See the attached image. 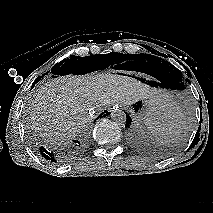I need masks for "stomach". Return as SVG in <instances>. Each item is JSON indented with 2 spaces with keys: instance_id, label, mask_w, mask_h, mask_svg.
I'll return each mask as SVG.
<instances>
[{
  "instance_id": "0dacf381",
  "label": "stomach",
  "mask_w": 213,
  "mask_h": 213,
  "mask_svg": "<svg viewBox=\"0 0 213 213\" xmlns=\"http://www.w3.org/2000/svg\"><path fill=\"white\" fill-rule=\"evenodd\" d=\"M129 111L137 121H144L148 124L153 122L158 113L164 111V108H158L148 100H138L129 106Z\"/></svg>"
}]
</instances>
